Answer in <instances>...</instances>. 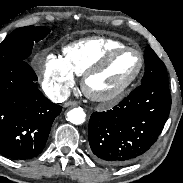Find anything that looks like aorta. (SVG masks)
<instances>
[{
  "label": "aorta",
  "mask_w": 183,
  "mask_h": 183,
  "mask_svg": "<svg viewBox=\"0 0 183 183\" xmlns=\"http://www.w3.org/2000/svg\"><path fill=\"white\" fill-rule=\"evenodd\" d=\"M85 112L81 107L73 108L67 113L69 122L75 125H80L85 121Z\"/></svg>",
  "instance_id": "1"
}]
</instances>
